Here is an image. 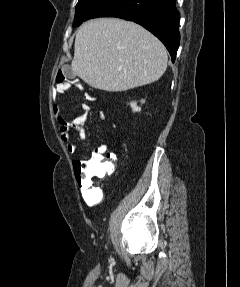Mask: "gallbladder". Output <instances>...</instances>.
I'll list each match as a JSON object with an SVG mask.
<instances>
[{
  "label": "gallbladder",
  "mask_w": 240,
  "mask_h": 287,
  "mask_svg": "<svg viewBox=\"0 0 240 287\" xmlns=\"http://www.w3.org/2000/svg\"><path fill=\"white\" fill-rule=\"evenodd\" d=\"M65 75L69 79L75 78V74L72 72V70L69 67L65 68Z\"/></svg>",
  "instance_id": "1"
}]
</instances>
